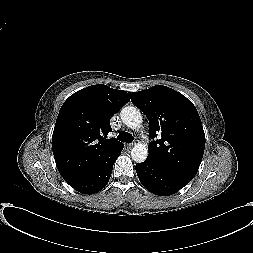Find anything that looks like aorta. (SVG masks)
<instances>
[{
    "label": "aorta",
    "mask_w": 253,
    "mask_h": 253,
    "mask_svg": "<svg viewBox=\"0 0 253 253\" xmlns=\"http://www.w3.org/2000/svg\"><path fill=\"white\" fill-rule=\"evenodd\" d=\"M120 116L123 123L131 129L140 128L143 122L141 112L134 106L124 107L121 110ZM147 156L148 149L144 144H136L131 150V157L137 163L144 162Z\"/></svg>",
    "instance_id": "1"
}]
</instances>
